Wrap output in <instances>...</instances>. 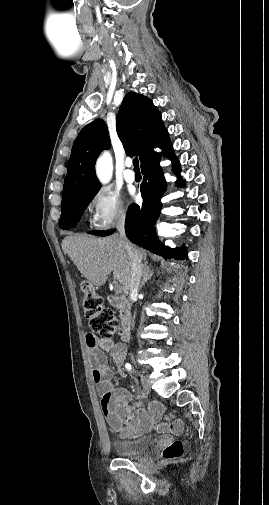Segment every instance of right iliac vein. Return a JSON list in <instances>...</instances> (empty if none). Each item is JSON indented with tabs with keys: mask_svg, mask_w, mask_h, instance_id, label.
I'll return each mask as SVG.
<instances>
[{
	"mask_svg": "<svg viewBox=\"0 0 269 505\" xmlns=\"http://www.w3.org/2000/svg\"><path fill=\"white\" fill-rule=\"evenodd\" d=\"M133 362H134V360H133ZM141 382L144 384V385L142 386V389H143L144 391H149V386L151 385V382H150V381H148V379L146 378V376H145V375H142V376H141Z\"/></svg>",
	"mask_w": 269,
	"mask_h": 505,
	"instance_id": "1",
	"label": "right iliac vein"
}]
</instances>
